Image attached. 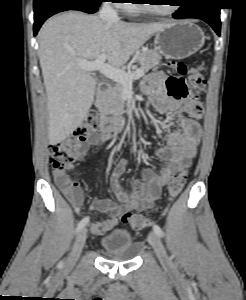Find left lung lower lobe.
Here are the masks:
<instances>
[{"mask_svg": "<svg viewBox=\"0 0 246 300\" xmlns=\"http://www.w3.org/2000/svg\"><path fill=\"white\" fill-rule=\"evenodd\" d=\"M220 7L216 0H188L185 5H181L173 17L198 18L207 22L220 36Z\"/></svg>", "mask_w": 246, "mask_h": 300, "instance_id": "obj_1", "label": "left lung lower lobe"}]
</instances>
